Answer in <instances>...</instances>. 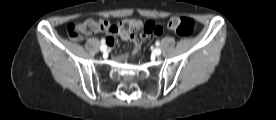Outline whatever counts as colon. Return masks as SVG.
Wrapping results in <instances>:
<instances>
[{"label": "colon", "instance_id": "colon-1", "mask_svg": "<svg viewBox=\"0 0 276 120\" xmlns=\"http://www.w3.org/2000/svg\"><path fill=\"white\" fill-rule=\"evenodd\" d=\"M167 27L180 36L188 37L193 34L195 24L189 17L174 16L168 20ZM99 31L118 34L125 39L134 36L137 32H142L148 36H158L162 29L152 21L123 19L118 23H111L100 17H89L81 22L69 24L67 27L68 36L75 41L80 40L82 35H92Z\"/></svg>", "mask_w": 276, "mask_h": 120}]
</instances>
